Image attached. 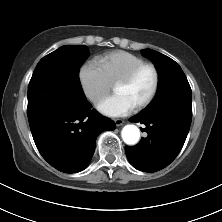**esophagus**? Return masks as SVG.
<instances>
[{
	"mask_svg": "<svg viewBox=\"0 0 222 222\" xmlns=\"http://www.w3.org/2000/svg\"><path fill=\"white\" fill-rule=\"evenodd\" d=\"M114 121H115L116 126H121L124 123L122 119H115Z\"/></svg>",
	"mask_w": 222,
	"mask_h": 222,
	"instance_id": "34e87169",
	"label": "esophagus"
}]
</instances>
